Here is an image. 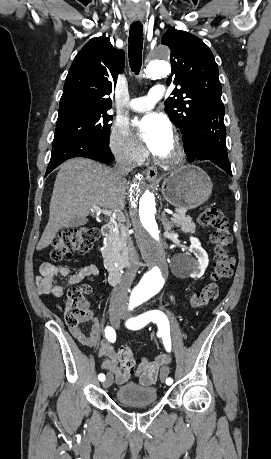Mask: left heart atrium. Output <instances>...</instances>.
Here are the masks:
<instances>
[{
	"label": "left heart atrium",
	"instance_id": "39dd6f15",
	"mask_svg": "<svg viewBox=\"0 0 271 459\" xmlns=\"http://www.w3.org/2000/svg\"><path fill=\"white\" fill-rule=\"evenodd\" d=\"M141 140L154 153L171 138V126L168 120L159 114H149L136 123Z\"/></svg>",
	"mask_w": 271,
	"mask_h": 459
}]
</instances>
